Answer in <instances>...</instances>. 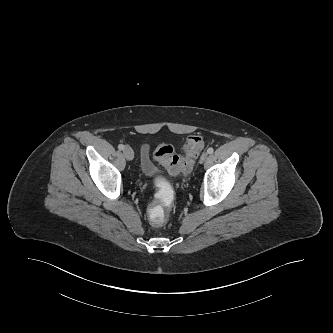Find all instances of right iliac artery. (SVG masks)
<instances>
[{"label":"right iliac artery","instance_id":"right-iliac-artery-1","mask_svg":"<svg viewBox=\"0 0 333 333\" xmlns=\"http://www.w3.org/2000/svg\"><path fill=\"white\" fill-rule=\"evenodd\" d=\"M118 149H119V150H124V145L119 144V145H118Z\"/></svg>","mask_w":333,"mask_h":333}]
</instances>
